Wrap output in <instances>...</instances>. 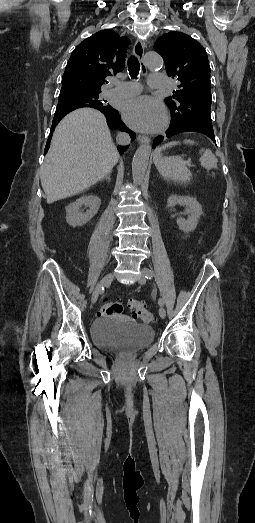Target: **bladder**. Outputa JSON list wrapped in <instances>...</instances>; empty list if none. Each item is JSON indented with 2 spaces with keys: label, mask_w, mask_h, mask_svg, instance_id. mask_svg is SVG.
I'll list each match as a JSON object with an SVG mask.
<instances>
[{
  "label": "bladder",
  "mask_w": 255,
  "mask_h": 523,
  "mask_svg": "<svg viewBox=\"0 0 255 523\" xmlns=\"http://www.w3.org/2000/svg\"><path fill=\"white\" fill-rule=\"evenodd\" d=\"M153 338V329L146 324L104 317L95 320L91 325V339L97 347L107 350L128 348L139 351L150 345Z\"/></svg>",
  "instance_id": "1"
}]
</instances>
